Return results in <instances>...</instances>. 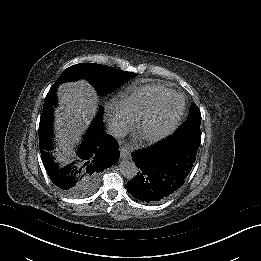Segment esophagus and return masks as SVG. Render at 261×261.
Segmentation results:
<instances>
[{
    "label": "esophagus",
    "mask_w": 261,
    "mask_h": 261,
    "mask_svg": "<svg viewBox=\"0 0 261 261\" xmlns=\"http://www.w3.org/2000/svg\"><path fill=\"white\" fill-rule=\"evenodd\" d=\"M120 152H121V158L122 159H129L130 151L126 146H121Z\"/></svg>",
    "instance_id": "esophagus-1"
}]
</instances>
